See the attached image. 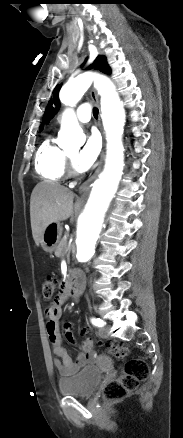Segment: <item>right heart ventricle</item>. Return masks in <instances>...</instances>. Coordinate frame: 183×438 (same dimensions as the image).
I'll return each mask as SVG.
<instances>
[{
    "label": "right heart ventricle",
    "mask_w": 183,
    "mask_h": 438,
    "mask_svg": "<svg viewBox=\"0 0 183 438\" xmlns=\"http://www.w3.org/2000/svg\"><path fill=\"white\" fill-rule=\"evenodd\" d=\"M66 160L65 152L50 139H46L36 154V171L47 181L59 182L66 174Z\"/></svg>",
    "instance_id": "1"
}]
</instances>
